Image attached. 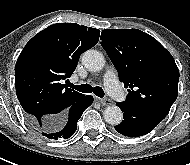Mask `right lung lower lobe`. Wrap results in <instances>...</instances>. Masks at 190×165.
I'll return each mask as SVG.
<instances>
[{
	"label": "right lung lower lobe",
	"instance_id": "98d812e1",
	"mask_svg": "<svg viewBox=\"0 0 190 165\" xmlns=\"http://www.w3.org/2000/svg\"><path fill=\"white\" fill-rule=\"evenodd\" d=\"M93 102L91 95H86L81 100L71 106L58 120L40 128L35 120L29 116H26L28 123L38 131L42 132V135L49 139L69 138L76 129L77 122L82 116L84 110L89 107Z\"/></svg>",
	"mask_w": 190,
	"mask_h": 165
}]
</instances>
